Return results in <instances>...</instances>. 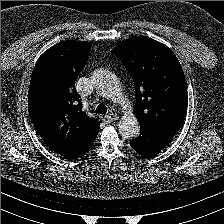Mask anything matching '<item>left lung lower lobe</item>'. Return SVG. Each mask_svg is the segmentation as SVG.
I'll list each match as a JSON object with an SVG mask.
<instances>
[{
    "instance_id": "left-lung-lower-lobe-1",
    "label": "left lung lower lobe",
    "mask_w": 224,
    "mask_h": 224,
    "mask_svg": "<svg viewBox=\"0 0 224 224\" xmlns=\"http://www.w3.org/2000/svg\"><path fill=\"white\" fill-rule=\"evenodd\" d=\"M170 141L149 130L141 129L140 135L130 140V144L141 156L149 158L157 155Z\"/></svg>"
}]
</instances>
